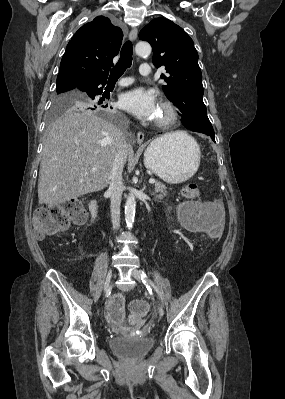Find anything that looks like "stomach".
Masks as SVG:
<instances>
[{"instance_id": "0dacf381", "label": "stomach", "mask_w": 285, "mask_h": 399, "mask_svg": "<svg viewBox=\"0 0 285 399\" xmlns=\"http://www.w3.org/2000/svg\"><path fill=\"white\" fill-rule=\"evenodd\" d=\"M184 134L180 139L157 138L145 150V166L167 183L184 182L199 167V146L191 136Z\"/></svg>"}]
</instances>
